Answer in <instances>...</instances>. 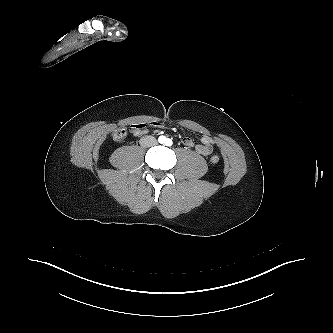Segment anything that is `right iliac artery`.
Listing matches in <instances>:
<instances>
[{"mask_svg": "<svg viewBox=\"0 0 333 333\" xmlns=\"http://www.w3.org/2000/svg\"><path fill=\"white\" fill-rule=\"evenodd\" d=\"M158 140L160 143H164L166 141V138L164 136H160Z\"/></svg>", "mask_w": 333, "mask_h": 333, "instance_id": "82829eb1", "label": "right iliac artery"}]
</instances>
